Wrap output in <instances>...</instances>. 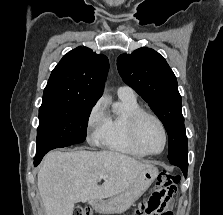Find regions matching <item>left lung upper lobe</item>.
<instances>
[{
    "instance_id": "left-lung-upper-lobe-1",
    "label": "left lung upper lobe",
    "mask_w": 223,
    "mask_h": 215,
    "mask_svg": "<svg viewBox=\"0 0 223 215\" xmlns=\"http://www.w3.org/2000/svg\"><path fill=\"white\" fill-rule=\"evenodd\" d=\"M119 74L151 107L169 136L170 162L188 163V146L176 77L155 50L142 47L117 58Z\"/></svg>"
}]
</instances>
